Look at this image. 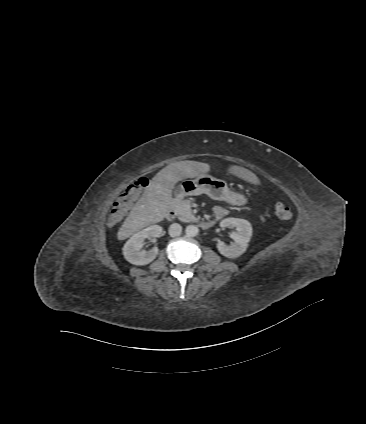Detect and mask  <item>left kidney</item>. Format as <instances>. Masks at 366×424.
Segmentation results:
<instances>
[{
	"label": "left kidney",
	"instance_id": "left-kidney-1",
	"mask_svg": "<svg viewBox=\"0 0 366 424\" xmlns=\"http://www.w3.org/2000/svg\"><path fill=\"white\" fill-rule=\"evenodd\" d=\"M222 228H236V232H232L230 237L233 243L228 246L223 241H218L217 249L220 254L227 258H235L243 254L252 236V226L245 220L240 218H226L220 222Z\"/></svg>",
	"mask_w": 366,
	"mask_h": 424
}]
</instances>
